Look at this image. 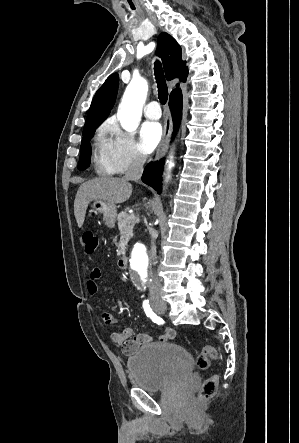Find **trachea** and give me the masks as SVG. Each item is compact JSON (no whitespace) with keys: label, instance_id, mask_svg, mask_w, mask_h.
Masks as SVG:
<instances>
[{"label":"trachea","instance_id":"obj_1","mask_svg":"<svg viewBox=\"0 0 299 443\" xmlns=\"http://www.w3.org/2000/svg\"><path fill=\"white\" fill-rule=\"evenodd\" d=\"M154 75L158 87V98L162 104H165L168 99V88L164 77L163 68L160 61H155Z\"/></svg>","mask_w":299,"mask_h":443}]
</instances>
